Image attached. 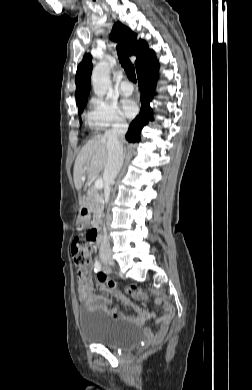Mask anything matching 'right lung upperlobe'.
<instances>
[{
	"instance_id": "1",
	"label": "right lung upper lobe",
	"mask_w": 252,
	"mask_h": 390,
	"mask_svg": "<svg viewBox=\"0 0 252 390\" xmlns=\"http://www.w3.org/2000/svg\"><path fill=\"white\" fill-rule=\"evenodd\" d=\"M111 39L122 43L130 56H137L135 62L137 74L146 68L158 65L154 52L149 50L147 43L141 39L137 40V34L120 22L114 24ZM92 68L91 55L86 54L83 61L78 65L75 76V95L78 108L84 107L87 102Z\"/></svg>"
}]
</instances>
